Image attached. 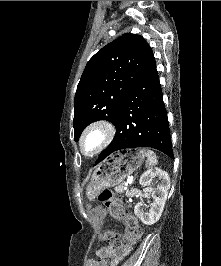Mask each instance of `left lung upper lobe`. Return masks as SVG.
Listing matches in <instances>:
<instances>
[{
  "label": "left lung upper lobe",
  "mask_w": 221,
  "mask_h": 266,
  "mask_svg": "<svg viewBox=\"0 0 221 266\" xmlns=\"http://www.w3.org/2000/svg\"><path fill=\"white\" fill-rule=\"evenodd\" d=\"M156 69L151 47L126 33L104 46L87 63L74 100V139L92 122L115 124L131 88Z\"/></svg>",
  "instance_id": "5c2ea615"
}]
</instances>
